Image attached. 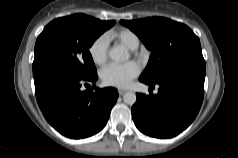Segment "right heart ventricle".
<instances>
[{"mask_svg":"<svg viewBox=\"0 0 238 158\" xmlns=\"http://www.w3.org/2000/svg\"><path fill=\"white\" fill-rule=\"evenodd\" d=\"M108 38L114 39L127 48L134 50L139 46L140 39L138 35L130 29H120L108 35Z\"/></svg>","mask_w":238,"mask_h":158,"instance_id":"right-heart-ventricle-1","label":"right heart ventricle"}]
</instances>
